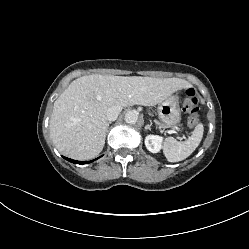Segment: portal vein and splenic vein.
<instances>
[{
	"label": "portal vein and splenic vein",
	"mask_w": 249,
	"mask_h": 249,
	"mask_svg": "<svg viewBox=\"0 0 249 249\" xmlns=\"http://www.w3.org/2000/svg\"><path fill=\"white\" fill-rule=\"evenodd\" d=\"M171 133H175L176 135H178V133L176 131H170Z\"/></svg>",
	"instance_id": "18ae733b"
}]
</instances>
